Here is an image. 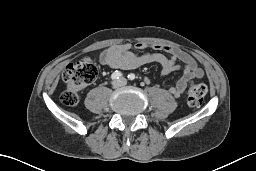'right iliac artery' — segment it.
I'll return each instance as SVG.
<instances>
[{
	"instance_id": "1",
	"label": "right iliac artery",
	"mask_w": 256,
	"mask_h": 171,
	"mask_svg": "<svg viewBox=\"0 0 256 171\" xmlns=\"http://www.w3.org/2000/svg\"><path fill=\"white\" fill-rule=\"evenodd\" d=\"M120 77H122V73L120 71H115L112 75H111V79L112 80H117Z\"/></svg>"
}]
</instances>
